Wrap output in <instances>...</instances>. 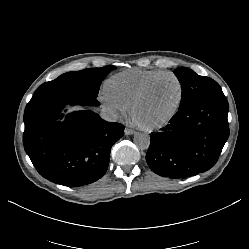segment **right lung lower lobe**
I'll use <instances>...</instances> for the list:
<instances>
[{
	"label": "right lung lower lobe",
	"mask_w": 249,
	"mask_h": 249,
	"mask_svg": "<svg viewBox=\"0 0 249 249\" xmlns=\"http://www.w3.org/2000/svg\"><path fill=\"white\" fill-rule=\"evenodd\" d=\"M98 106L80 90H50L34 94L24 112V148L46 179L75 187L101 178L112 145L124 135V125L107 122L86 109L67 114L65 105Z\"/></svg>",
	"instance_id": "right-lung-lower-lobe-1"
}]
</instances>
